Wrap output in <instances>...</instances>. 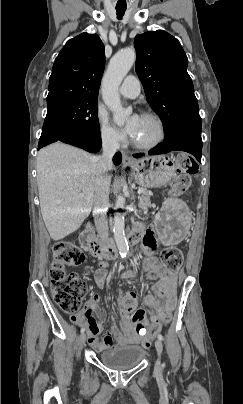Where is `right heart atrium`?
Here are the masks:
<instances>
[{"instance_id": "right-heart-atrium-1", "label": "right heart atrium", "mask_w": 243, "mask_h": 404, "mask_svg": "<svg viewBox=\"0 0 243 404\" xmlns=\"http://www.w3.org/2000/svg\"><path fill=\"white\" fill-rule=\"evenodd\" d=\"M96 120L100 140L104 145L114 149H121L125 146V136L109 123L107 114L103 110L97 111Z\"/></svg>"}]
</instances>
